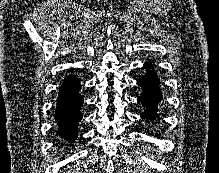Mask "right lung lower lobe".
<instances>
[{
    "label": "right lung lower lobe",
    "mask_w": 219,
    "mask_h": 173,
    "mask_svg": "<svg viewBox=\"0 0 219 173\" xmlns=\"http://www.w3.org/2000/svg\"><path fill=\"white\" fill-rule=\"evenodd\" d=\"M80 82L74 75H69L63 81L55 110V120L59 127V135L73 142L77 137V126L82 119L80 107L83 97L79 93Z\"/></svg>",
    "instance_id": "98d812e1"
}]
</instances>
